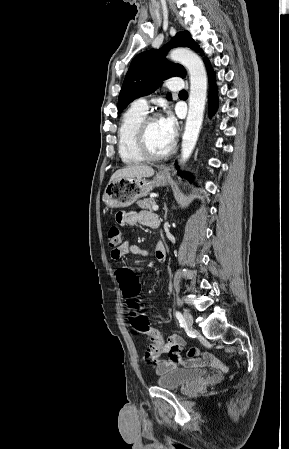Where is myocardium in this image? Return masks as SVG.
Here are the masks:
<instances>
[{"label":"myocardium","instance_id":"myocardium-1","mask_svg":"<svg viewBox=\"0 0 289 449\" xmlns=\"http://www.w3.org/2000/svg\"><path fill=\"white\" fill-rule=\"evenodd\" d=\"M158 119H160V117L157 114H151V115L146 116L142 120L141 124L139 125L138 131H137V136H136L137 148H138L139 153L146 160L158 161V160L166 159L169 156H171L175 152V149H176V141L173 139L171 147L166 152H164L162 154H154L150 150V148L148 146V140H147L148 128L153 121L158 120Z\"/></svg>","mask_w":289,"mask_h":449}]
</instances>
